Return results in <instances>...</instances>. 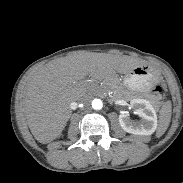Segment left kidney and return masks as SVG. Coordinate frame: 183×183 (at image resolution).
Masks as SVG:
<instances>
[{"instance_id":"obj_1","label":"left kidney","mask_w":183,"mask_h":183,"mask_svg":"<svg viewBox=\"0 0 183 183\" xmlns=\"http://www.w3.org/2000/svg\"><path fill=\"white\" fill-rule=\"evenodd\" d=\"M130 104L141 120L134 122L129 114L121 113L119 123L123 130L135 135L153 134L157 128V115L152 104L145 99H132Z\"/></svg>"}]
</instances>
